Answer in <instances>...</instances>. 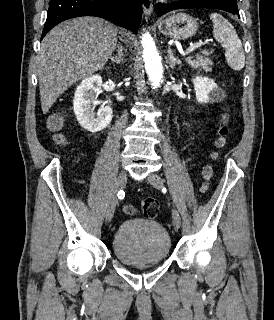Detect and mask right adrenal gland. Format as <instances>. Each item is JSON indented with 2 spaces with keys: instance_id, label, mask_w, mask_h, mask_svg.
Segmentation results:
<instances>
[{
  "instance_id": "obj_1",
  "label": "right adrenal gland",
  "mask_w": 274,
  "mask_h": 320,
  "mask_svg": "<svg viewBox=\"0 0 274 320\" xmlns=\"http://www.w3.org/2000/svg\"><path fill=\"white\" fill-rule=\"evenodd\" d=\"M122 58H123L122 50H118V56H115V58H111V60L113 64H120Z\"/></svg>"
}]
</instances>
